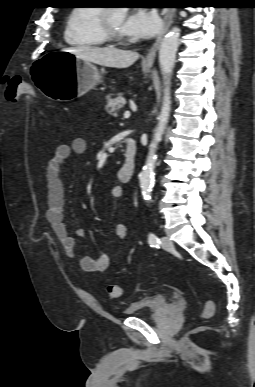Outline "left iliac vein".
I'll return each instance as SVG.
<instances>
[{
	"label": "left iliac vein",
	"instance_id": "left-iliac-vein-1",
	"mask_svg": "<svg viewBox=\"0 0 255 387\" xmlns=\"http://www.w3.org/2000/svg\"><path fill=\"white\" fill-rule=\"evenodd\" d=\"M161 246L163 249L169 250L173 248V242L167 236H163L161 238Z\"/></svg>",
	"mask_w": 255,
	"mask_h": 387
}]
</instances>
